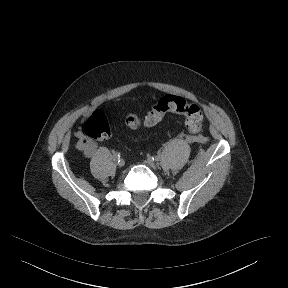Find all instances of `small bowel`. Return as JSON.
<instances>
[{"label":"small bowel","instance_id":"obj_1","mask_svg":"<svg viewBox=\"0 0 288 288\" xmlns=\"http://www.w3.org/2000/svg\"><path fill=\"white\" fill-rule=\"evenodd\" d=\"M95 151V145L93 143H90L85 150H83L84 154L87 157H91L94 154Z\"/></svg>","mask_w":288,"mask_h":288}]
</instances>
